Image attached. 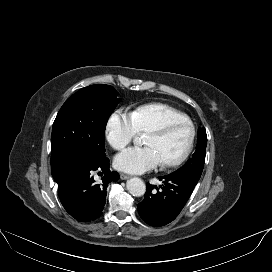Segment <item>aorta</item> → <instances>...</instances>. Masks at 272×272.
<instances>
[{"label": "aorta", "instance_id": "aorta-1", "mask_svg": "<svg viewBox=\"0 0 272 272\" xmlns=\"http://www.w3.org/2000/svg\"><path fill=\"white\" fill-rule=\"evenodd\" d=\"M127 190L133 196H143L146 192L145 183L138 177H133L127 181Z\"/></svg>", "mask_w": 272, "mask_h": 272}]
</instances>
